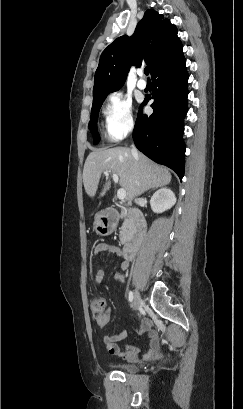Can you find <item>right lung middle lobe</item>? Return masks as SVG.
Masks as SVG:
<instances>
[{"instance_id":"right-lung-middle-lobe-1","label":"right lung middle lobe","mask_w":243,"mask_h":409,"mask_svg":"<svg viewBox=\"0 0 243 409\" xmlns=\"http://www.w3.org/2000/svg\"><path fill=\"white\" fill-rule=\"evenodd\" d=\"M104 101V98L98 99V100H94L93 101V106H92V111H91V119L89 122V128L90 131L93 135V139H94V144H98L100 141V136L99 133L97 131V119H98V113H99V109L102 106V103Z\"/></svg>"}]
</instances>
